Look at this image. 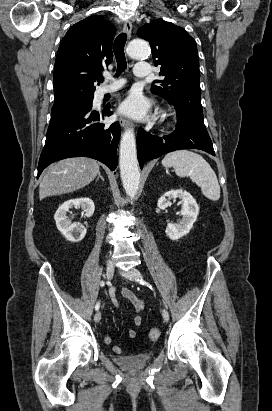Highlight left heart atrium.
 Wrapping results in <instances>:
<instances>
[{"instance_id":"left-heart-atrium-1","label":"left heart atrium","mask_w":272,"mask_h":411,"mask_svg":"<svg viewBox=\"0 0 272 411\" xmlns=\"http://www.w3.org/2000/svg\"><path fill=\"white\" fill-rule=\"evenodd\" d=\"M120 110L126 115L143 118L149 110V102L141 94L132 93L122 103Z\"/></svg>"}]
</instances>
